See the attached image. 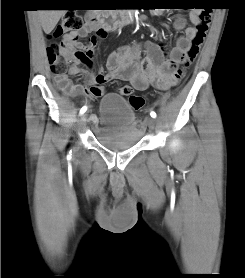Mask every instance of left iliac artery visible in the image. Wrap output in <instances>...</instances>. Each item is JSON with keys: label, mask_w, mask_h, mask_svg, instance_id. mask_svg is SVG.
<instances>
[{"label": "left iliac artery", "mask_w": 245, "mask_h": 278, "mask_svg": "<svg viewBox=\"0 0 245 278\" xmlns=\"http://www.w3.org/2000/svg\"><path fill=\"white\" fill-rule=\"evenodd\" d=\"M150 115H151L152 118L156 117V113L154 111H151Z\"/></svg>", "instance_id": "44dca946"}]
</instances>
